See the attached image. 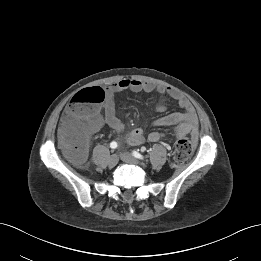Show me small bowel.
<instances>
[{
  "mask_svg": "<svg viewBox=\"0 0 261 261\" xmlns=\"http://www.w3.org/2000/svg\"><path fill=\"white\" fill-rule=\"evenodd\" d=\"M131 90L133 92L153 93L161 95V99L156 104V110L164 112L167 109L166 99L171 97L176 100L183 109L182 112H175L166 116L157 118L154 124L157 126L172 127L177 137L191 135L196 140L199 134L198 121L193 108L187 98L175 89L164 86H155L154 84L137 79H121L111 83L106 88V97L102 106V112L96 111L88 120V134L91 135L103 126L107 125L118 133L123 132L124 125L121 117L116 111L114 96L116 93ZM163 133L153 131L148 134V140L156 142L162 138ZM144 132L141 128H135L126 135V140L131 145H140L144 142Z\"/></svg>",
  "mask_w": 261,
  "mask_h": 261,
  "instance_id": "small-bowel-1",
  "label": "small bowel"
}]
</instances>
